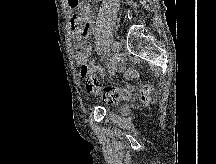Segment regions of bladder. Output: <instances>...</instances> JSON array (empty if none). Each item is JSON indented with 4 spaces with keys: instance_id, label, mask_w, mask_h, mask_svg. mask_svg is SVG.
<instances>
[{
    "instance_id": "bladder-1",
    "label": "bladder",
    "mask_w": 216,
    "mask_h": 164,
    "mask_svg": "<svg viewBox=\"0 0 216 164\" xmlns=\"http://www.w3.org/2000/svg\"><path fill=\"white\" fill-rule=\"evenodd\" d=\"M121 111H122V112H127L128 109H126V108H122Z\"/></svg>"
}]
</instances>
